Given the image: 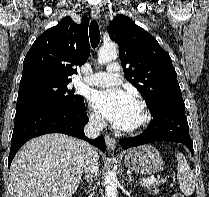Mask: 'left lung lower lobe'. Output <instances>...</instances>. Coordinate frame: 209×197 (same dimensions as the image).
Here are the masks:
<instances>
[{
	"label": "left lung lower lobe",
	"instance_id": "obj_1",
	"mask_svg": "<svg viewBox=\"0 0 209 197\" xmlns=\"http://www.w3.org/2000/svg\"><path fill=\"white\" fill-rule=\"evenodd\" d=\"M184 111V102L164 103L157 106L151 112L153 121L147 129L134 138L121 139L120 145L123 149H127L154 141L180 142L193 154V142Z\"/></svg>",
	"mask_w": 209,
	"mask_h": 197
}]
</instances>
